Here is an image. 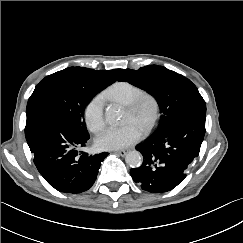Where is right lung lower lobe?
Listing matches in <instances>:
<instances>
[{
  "label": "right lung lower lobe",
  "instance_id": "right-lung-lower-lobe-1",
  "mask_svg": "<svg viewBox=\"0 0 243 243\" xmlns=\"http://www.w3.org/2000/svg\"><path fill=\"white\" fill-rule=\"evenodd\" d=\"M26 115L25 136L39 173L60 192L77 194L88 190L108 153H79L77 148L85 145L89 134L78 132L53 110L34 107Z\"/></svg>",
  "mask_w": 243,
  "mask_h": 243
}]
</instances>
